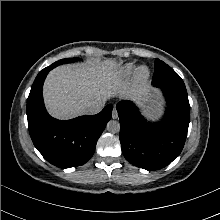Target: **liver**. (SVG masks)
Returning a JSON list of instances; mask_svg holds the SVG:
<instances>
[{
  "label": "liver",
  "instance_id": "6515ba94",
  "mask_svg": "<svg viewBox=\"0 0 220 220\" xmlns=\"http://www.w3.org/2000/svg\"><path fill=\"white\" fill-rule=\"evenodd\" d=\"M119 63L112 59L61 65L50 71L43 98L49 114L57 119H71L85 114V107L95 101H106L116 93L145 101L150 88L132 89L122 81Z\"/></svg>",
  "mask_w": 220,
  "mask_h": 220
}]
</instances>
